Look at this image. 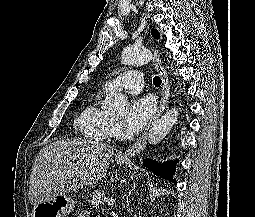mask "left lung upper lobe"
<instances>
[{
  "label": "left lung upper lobe",
  "mask_w": 255,
  "mask_h": 217,
  "mask_svg": "<svg viewBox=\"0 0 255 217\" xmlns=\"http://www.w3.org/2000/svg\"><path fill=\"white\" fill-rule=\"evenodd\" d=\"M151 34H152V36H153L155 39H158V38H159V34H158L157 30L152 29Z\"/></svg>",
  "instance_id": "1"
}]
</instances>
